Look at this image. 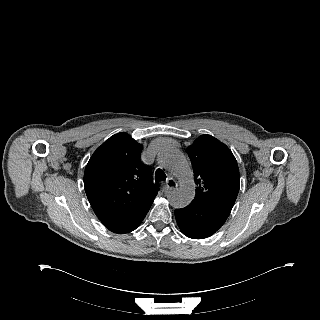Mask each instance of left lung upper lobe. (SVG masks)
<instances>
[{
    "instance_id": "1",
    "label": "left lung upper lobe",
    "mask_w": 320,
    "mask_h": 320,
    "mask_svg": "<svg viewBox=\"0 0 320 320\" xmlns=\"http://www.w3.org/2000/svg\"><path fill=\"white\" fill-rule=\"evenodd\" d=\"M194 172V201L231 212L240 186L239 169L229 148L211 135H202L187 148Z\"/></svg>"
}]
</instances>
